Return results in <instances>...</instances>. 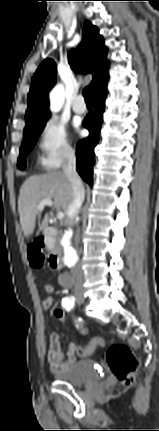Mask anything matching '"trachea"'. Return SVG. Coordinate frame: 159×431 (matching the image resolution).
Here are the masks:
<instances>
[{
	"mask_svg": "<svg viewBox=\"0 0 159 431\" xmlns=\"http://www.w3.org/2000/svg\"><path fill=\"white\" fill-rule=\"evenodd\" d=\"M84 99L86 104H93V88L91 86H87L83 90Z\"/></svg>",
	"mask_w": 159,
	"mask_h": 431,
	"instance_id": "obj_1",
	"label": "trachea"
}]
</instances>
